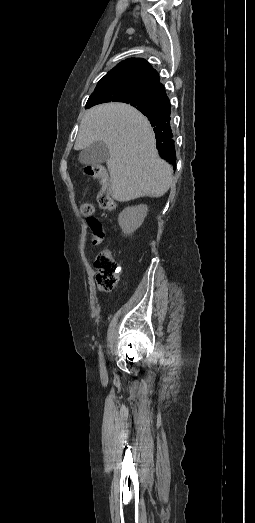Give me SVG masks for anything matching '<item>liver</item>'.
<instances>
[{
  "label": "liver",
  "mask_w": 255,
  "mask_h": 523,
  "mask_svg": "<svg viewBox=\"0 0 255 523\" xmlns=\"http://www.w3.org/2000/svg\"><path fill=\"white\" fill-rule=\"evenodd\" d=\"M105 142L110 158L112 198L129 202L141 196L160 198L172 184L173 170L159 158L149 120L128 104H101L85 112L74 150Z\"/></svg>",
  "instance_id": "liver-1"
}]
</instances>
